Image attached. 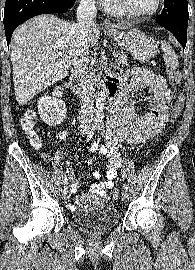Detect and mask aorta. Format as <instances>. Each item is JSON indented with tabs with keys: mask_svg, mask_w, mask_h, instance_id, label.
Listing matches in <instances>:
<instances>
[{
	"mask_svg": "<svg viewBox=\"0 0 195 270\" xmlns=\"http://www.w3.org/2000/svg\"><path fill=\"white\" fill-rule=\"evenodd\" d=\"M106 105V98H105V92L104 90L101 88H99V91L97 93V97H96V117L98 118H102L103 114H104V108Z\"/></svg>",
	"mask_w": 195,
	"mask_h": 270,
	"instance_id": "obj_1",
	"label": "aorta"
}]
</instances>
